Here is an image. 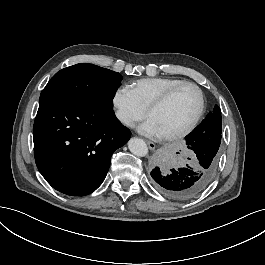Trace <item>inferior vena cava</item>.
<instances>
[{
  "label": "inferior vena cava",
  "mask_w": 265,
  "mask_h": 265,
  "mask_svg": "<svg viewBox=\"0 0 265 265\" xmlns=\"http://www.w3.org/2000/svg\"><path fill=\"white\" fill-rule=\"evenodd\" d=\"M124 122H125L126 124H127V123H129V121H128V120H125Z\"/></svg>",
  "instance_id": "inferior-vena-cava-1"
}]
</instances>
